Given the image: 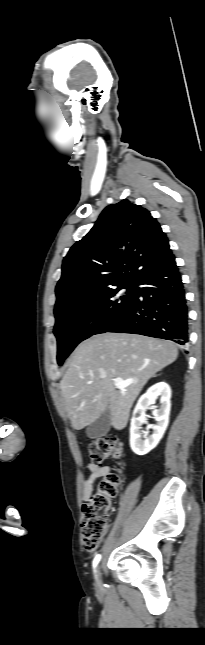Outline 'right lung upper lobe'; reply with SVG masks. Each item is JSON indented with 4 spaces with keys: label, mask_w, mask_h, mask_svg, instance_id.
Masks as SVG:
<instances>
[{
    "label": "right lung upper lobe",
    "mask_w": 205,
    "mask_h": 645,
    "mask_svg": "<svg viewBox=\"0 0 205 645\" xmlns=\"http://www.w3.org/2000/svg\"><path fill=\"white\" fill-rule=\"evenodd\" d=\"M172 258L166 234L148 210L128 200L109 205L64 258L54 313L84 296L133 285Z\"/></svg>",
    "instance_id": "right-lung-upper-lobe-1"
}]
</instances>
